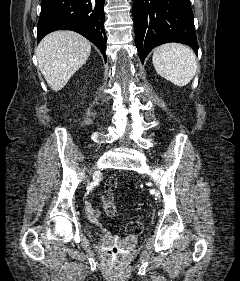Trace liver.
<instances>
[{
  "label": "liver",
  "instance_id": "1",
  "mask_svg": "<svg viewBox=\"0 0 240 281\" xmlns=\"http://www.w3.org/2000/svg\"><path fill=\"white\" fill-rule=\"evenodd\" d=\"M91 43L73 31H55L36 48L38 66L50 88L60 91L87 61Z\"/></svg>",
  "mask_w": 240,
  "mask_h": 281
}]
</instances>
